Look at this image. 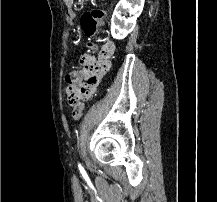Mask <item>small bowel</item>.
<instances>
[{
    "instance_id": "c3829d8e",
    "label": "small bowel",
    "mask_w": 217,
    "mask_h": 202,
    "mask_svg": "<svg viewBox=\"0 0 217 202\" xmlns=\"http://www.w3.org/2000/svg\"><path fill=\"white\" fill-rule=\"evenodd\" d=\"M115 52V44L107 40L103 43L98 52L97 58L87 57L82 60L89 71L90 78L87 88L83 95H91L95 92L99 78L104 75L111 67V57Z\"/></svg>"
}]
</instances>
